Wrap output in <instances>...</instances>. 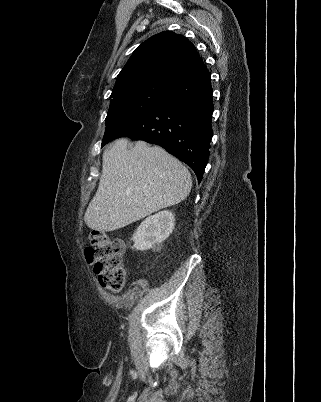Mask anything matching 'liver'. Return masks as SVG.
Returning <instances> with one entry per match:
<instances>
[{"label": "liver", "instance_id": "obj_1", "mask_svg": "<svg viewBox=\"0 0 321 402\" xmlns=\"http://www.w3.org/2000/svg\"><path fill=\"white\" fill-rule=\"evenodd\" d=\"M191 187L188 169L163 148L138 141L128 149L122 138L103 153L99 186L84 220L92 230L115 231L180 203Z\"/></svg>", "mask_w": 321, "mask_h": 402}]
</instances>
